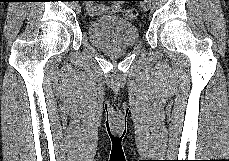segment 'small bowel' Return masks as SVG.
I'll use <instances>...</instances> for the list:
<instances>
[{"label": "small bowel", "mask_w": 229, "mask_h": 161, "mask_svg": "<svg viewBox=\"0 0 229 161\" xmlns=\"http://www.w3.org/2000/svg\"><path fill=\"white\" fill-rule=\"evenodd\" d=\"M119 4L117 3H114L112 5H109V6H106V7H101V8H95L93 6H91L90 10L92 12H102V11H106V12H109V13H115L119 10Z\"/></svg>", "instance_id": "small-bowel-1"}]
</instances>
